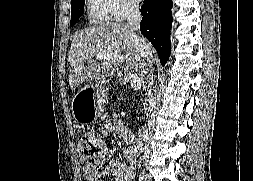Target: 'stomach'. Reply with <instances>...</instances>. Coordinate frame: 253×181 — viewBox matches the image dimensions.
Instances as JSON below:
<instances>
[{"mask_svg":"<svg viewBox=\"0 0 253 181\" xmlns=\"http://www.w3.org/2000/svg\"><path fill=\"white\" fill-rule=\"evenodd\" d=\"M84 97V100H79ZM73 114L76 121L88 123L97 119L105 110L108 103L107 89L103 82L85 87L74 98Z\"/></svg>","mask_w":253,"mask_h":181,"instance_id":"0dacf381","label":"stomach"}]
</instances>
